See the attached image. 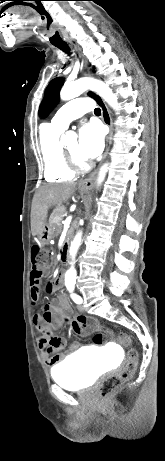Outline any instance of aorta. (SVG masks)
Returning a JSON list of instances; mask_svg holds the SVG:
<instances>
[{
  "mask_svg": "<svg viewBox=\"0 0 165 461\" xmlns=\"http://www.w3.org/2000/svg\"><path fill=\"white\" fill-rule=\"evenodd\" d=\"M86 90L96 91L111 107H113L114 109L118 108L117 99L114 96L112 90L109 88V86L105 84L104 82L93 79V78H81L74 82L66 83L61 89L60 98L64 101L71 100L75 97H78ZM70 135H71L70 133L66 134V136L64 137V142L67 141V137H70ZM106 172H107V164H104L101 167L100 172H99L98 184H101L103 182ZM81 236H82V233L79 232L75 236L70 246L69 253L72 258V262H71L70 269L67 270L65 274V281L67 282L76 281V270L74 268V263H75L74 260H75L77 250L81 244Z\"/></svg>",
  "mask_w": 165,
  "mask_h": 461,
  "instance_id": "obj_1",
  "label": "aorta"
}]
</instances>
